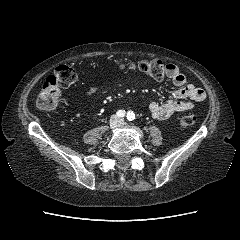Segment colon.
<instances>
[{
  "label": "colon",
  "instance_id": "5ec220e1",
  "mask_svg": "<svg viewBox=\"0 0 240 240\" xmlns=\"http://www.w3.org/2000/svg\"><path fill=\"white\" fill-rule=\"evenodd\" d=\"M121 69H130L144 73L155 80H163L167 76V64L161 60L154 59L137 63L119 64ZM81 76V71L69 65L56 67L52 75H49L43 82L42 88L37 97V107L41 110L55 109L59 104L60 89L67 88L74 84ZM196 117L193 114H184L179 118V124L183 128L195 124Z\"/></svg>",
  "mask_w": 240,
  "mask_h": 240
}]
</instances>
